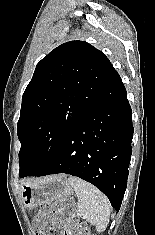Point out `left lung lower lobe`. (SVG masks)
<instances>
[{"label":"left lung lower lobe","mask_w":155,"mask_h":235,"mask_svg":"<svg viewBox=\"0 0 155 235\" xmlns=\"http://www.w3.org/2000/svg\"><path fill=\"white\" fill-rule=\"evenodd\" d=\"M132 138V111L116 72L47 164L30 176H77L100 189L119 211L127 186Z\"/></svg>","instance_id":"obj_1"}]
</instances>
